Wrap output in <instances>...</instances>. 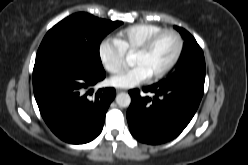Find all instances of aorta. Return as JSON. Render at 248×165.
Segmentation results:
<instances>
[{
    "label": "aorta",
    "instance_id": "1",
    "mask_svg": "<svg viewBox=\"0 0 248 165\" xmlns=\"http://www.w3.org/2000/svg\"><path fill=\"white\" fill-rule=\"evenodd\" d=\"M130 56H127V60L129 61ZM116 103L120 107H128L131 103V97L128 93H119L116 96Z\"/></svg>",
    "mask_w": 248,
    "mask_h": 165
}]
</instances>
